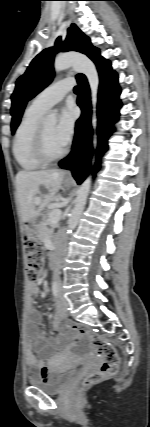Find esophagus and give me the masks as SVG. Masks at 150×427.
Segmentation results:
<instances>
[{
    "instance_id": "34e87169",
    "label": "esophagus",
    "mask_w": 150,
    "mask_h": 427,
    "mask_svg": "<svg viewBox=\"0 0 150 427\" xmlns=\"http://www.w3.org/2000/svg\"><path fill=\"white\" fill-rule=\"evenodd\" d=\"M66 177L71 178V173H70V171H67V172H66Z\"/></svg>"
}]
</instances>
